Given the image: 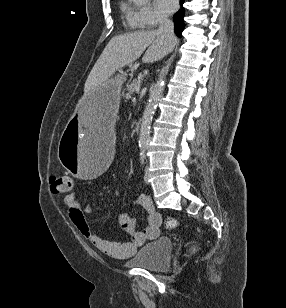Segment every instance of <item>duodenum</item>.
<instances>
[{
  "label": "duodenum",
  "instance_id": "1",
  "mask_svg": "<svg viewBox=\"0 0 286 308\" xmlns=\"http://www.w3.org/2000/svg\"><path fill=\"white\" fill-rule=\"evenodd\" d=\"M140 128H141V121L138 120V121L135 123V130H136V131H140Z\"/></svg>",
  "mask_w": 286,
  "mask_h": 308
}]
</instances>
